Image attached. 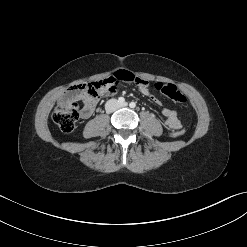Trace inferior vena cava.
<instances>
[{
	"mask_svg": "<svg viewBox=\"0 0 247 247\" xmlns=\"http://www.w3.org/2000/svg\"><path fill=\"white\" fill-rule=\"evenodd\" d=\"M117 108H119V105L115 99L109 100L105 105V109L107 112H112V111L116 110Z\"/></svg>",
	"mask_w": 247,
	"mask_h": 247,
	"instance_id": "1",
	"label": "inferior vena cava"
}]
</instances>
